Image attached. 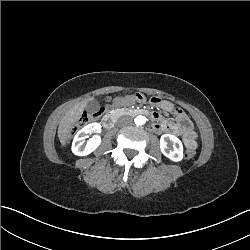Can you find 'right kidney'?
<instances>
[{
	"label": "right kidney",
	"instance_id": "ca27d5eb",
	"mask_svg": "<svg viewBox=\"0 0 250 250\" xmlns=\"http://www.w3.org/2000/svg\"><path fill=\"white\" fill-rule=\"evenodd\" d=\"M102 126L99 123H91L80 129L72 142L71 150L74 154L84 156L95 150L101 143V137L99 135H93L89 141L84 145V139H86L92 131L99 132Z\"/></svg>",
	"mask_w": 250,
	"mask_h": 250
}]
</instances>
